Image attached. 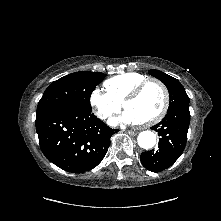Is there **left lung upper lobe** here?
Masks as SVG:
<instances>
[{"instance_id": "left-lung-upper-lobe-1", "label": "left lung upper lobe", "mask_w": 221, "mask_h": 221, "mask_svg": "<svg viewBox=\"0 0 221 221\" xmlns=\"http://www.w3.org/2000/svg\"><path fill=\"white\" fill-rule=\"evenodd\" d=\"M148 73L161 80L167 87L170 95L168 110L189 108V97L186 94L184 87L176 78L155 69L149 70Z\"/></svg>"}]
</instances>
